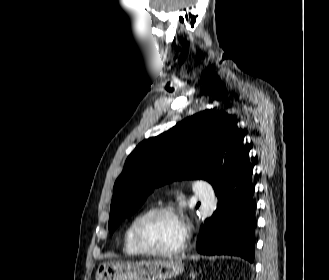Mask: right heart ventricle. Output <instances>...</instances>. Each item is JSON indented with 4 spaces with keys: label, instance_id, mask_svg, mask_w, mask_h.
<instances>
[{
    "label": "right heart ventricle",
    "instance_id": "right-heart-ventricle-1",
    "mask_svg": "<svg viewBox=\"0 0 329 280\" xmlns=\"http://www.w3.org/2000/svg\"><path fill=\"white\" fill-rule=\"evenodd\" d=\"M141 210L136 213L128 222L123 233V251L128 256H140L143 253L137 248L133 240V230L139 218L145 213Z\"/></svg>",
    "mask_w": 329,
    "mask_h": 280
}]
</instances>
